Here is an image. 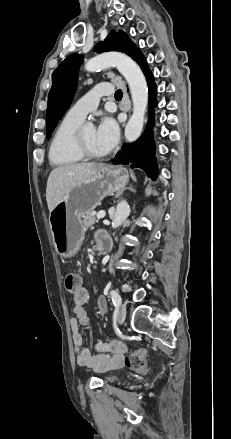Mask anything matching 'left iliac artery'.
<instances>
[{
    "label": "left iliac artery",
    "mask_w": 231,
    "mask_h": 439,
    "mask_svg": "<svg viewBox=\"0 0 231 439\" xmlns=\"http://www.w3.org/2000/svg\"><path fill=\"white\" fill-rule=\"evenodd\" d=\"M110 295H111L114 306L118 308L121 304V297H120L119 293L115 290H111Z\"/></svg>",
    "instance_id": "1"
}]
</instances>
